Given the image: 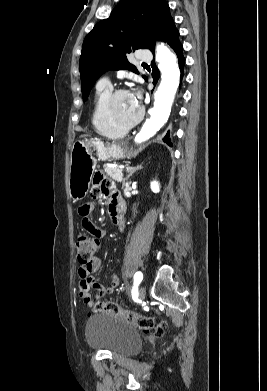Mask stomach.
Returning a JSON list of instances; mask_svg holds the SVG:
<instances>
[{
  "instance_id": "stomach-1",
  "label": "stomach",
  "mask_w": 267,
  "mask_h": 391,
  "mask_svg": "<svg viewBox=\"0 0 267 391\" xmlns=\"http://www.w3.org/2000/svg\"><path fill=\"white\" fill-rule=\"evenodd\" d=\"M98 160L122 159L125 149L119 144L104 145L99 140L76 141L71 150L69 170V193L74 201L83 199L88 193L91 178Z\"/></svg>"
}]
</instances>
